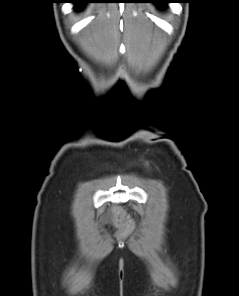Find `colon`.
Returning <instances> with one entry per match:
<instances>
[{
  "label": "colon",
  "mask_w": 239,
  "mask_h": 296,
  "mask_svg": "<svg viewBox=\"0 0 239 296\" xmlns=\"http://www.w3.org/2000/svg\"><path fill=\"white\" fill-rule=\"evenodd\" d=\"M112 218L118 227L124 229H133L134 225L129 215L120 207H114L112 209Z\"/></svg>",
  "instance_id": "5ec220e1"
}]
</instances>
